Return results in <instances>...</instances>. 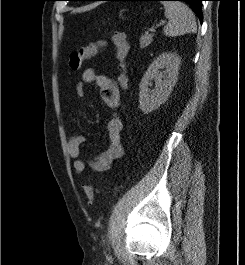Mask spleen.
I'll list each match as a JSON object with an SVG mask.
<instances>
[{
	"label": "spleen",
	"mask_w": 245,
	"mask_h": 265,
	"mask_svg": "<svg viewBox=\"0 0 245 265\" xmlns=\"http://www.w3.org/2000/svg\"><path fill=\"white\" fill-rule=\"evenodd\" d=\"M168 24L163 31L166 36L175 37L190 32H196L197 25L192 10L183 2L163 1Z\"/></svg>",
	"instance_id": "3e777b00"
}]
</instances>
